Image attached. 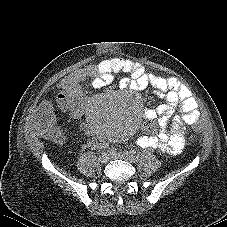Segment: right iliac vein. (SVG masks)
Segmentation results:
<instances>
[{
  "label": "right iliac vein",
  "mask_w": 227,
  "mask_h": 227,
  "mask_svg": "<svg viewBox=\"0 0 227 227\" xmlns=\"http://www.w3.org/2000/svg\"><path fill=\"white\" fill-rule=\"evenodd\" d=\"M108 160H109V155H108V153H106V152L101 153V155L99 156V161H100L101 163H107Z\"/></svg>",
  "instance_id": "63e3f726"
}]
</instances>
